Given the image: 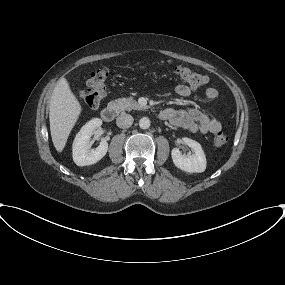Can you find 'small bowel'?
<instances>
[{"mask_svg": "<svg viewBox=\"0 0 285 285\" xmlns=\"http://www.w3.org/2000/svg\"><path fill=\"white\" fill-rule=\"evenodd\" d=\"M175 91L181 97H189L193 92V88L185 84H178ZM217 96L218 92L213 87H207L204 91V97L208 101H213ZM160 116L171 124L193 133L217 134L222 128L221 122L214 114L195 108H166Z\"/></svg>", "mask_w": 285, "mask_h": 285, "instance_id": "obj_1", "label": "small bowel"}]
</instances>
